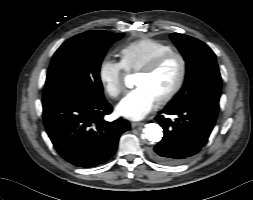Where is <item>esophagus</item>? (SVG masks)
<instances>
[{"label": "esophagus", "mask_w": 253, "mask_h": 200, "mask_svg": "<svg viewBox=\"0 0 253 200\" xmlns=\"http://www.w3.org/2000/svg\"><path fill=\"white\" fill-rule=\"evenodd\" d=\"M142 125H144V123H142V122H132L131 123V126L134 128V127H137V126H142Z\"/></svg>", "instance_id": "obj_1"}]
</instances>
